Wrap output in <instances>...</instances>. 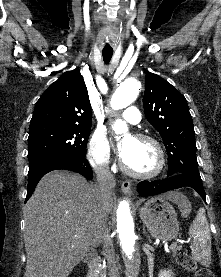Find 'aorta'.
<instances>
[{
    "instance_id": "aorta-1",
    "label": "aorta",
    "mask_w": 221,
    "mask_h": 277,
    "mask_svg": "<svg viewBox=\"0 0 221 277\" xmlns=\"http://www.w3.org/2000/svg\"><path fill=\"white\" fill-rule=\"evenodd\" d=\"M141 84L134 77H129L119 84L111 97V107L123 109L132 104L137 98ZM115 134H126L127 124L121 119H117L113 125ZM113 232L126 265L131 273H135L140 263V250L138 237L135 232L133 216L131 214L130 203L122 200L116 211V221Z\"/></svg>"
}]
</instances>
